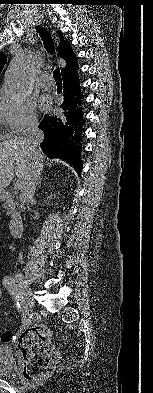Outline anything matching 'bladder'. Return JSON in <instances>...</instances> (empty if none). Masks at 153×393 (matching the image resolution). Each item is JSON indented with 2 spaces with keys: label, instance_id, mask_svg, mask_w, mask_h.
I'll return each mask as SVG.
<instances>
[{
  "label": "bladder",
  "instance_id": "31cf9c89",
  "mask_svg": "<svg viewBox=\"0 0 153 393\" xmlns=\"http://www.w3.org/2000/svg\"><path fill=\"white\" fill-rule=\"evenodd\" d=\"M15 366L10 347L0 345V377L11 378Z\"/></svg>",
  "mask_w": 153,
  "mask_h": 393
}]
</instances>
